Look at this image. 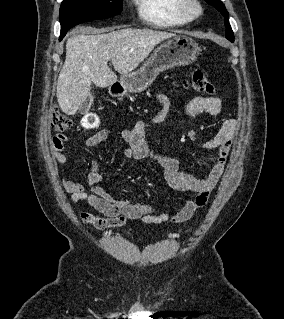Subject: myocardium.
<instances>
[{
    "label": "myocardium",
    "mask_w": 284,
    "mask_h": 319,
    "mask_svg": "<svg viewBox=\"0 0 284 319\" xmlns=\"http://www.w3.org/2000/svg\"><path fill=\"white\" fill-rule=\"evenodd\" d=\"M180 9L190 20L198 19L204 11L200 0H180Z\"/></svg>",
    "instance_id": "1"
}]
</instances>
